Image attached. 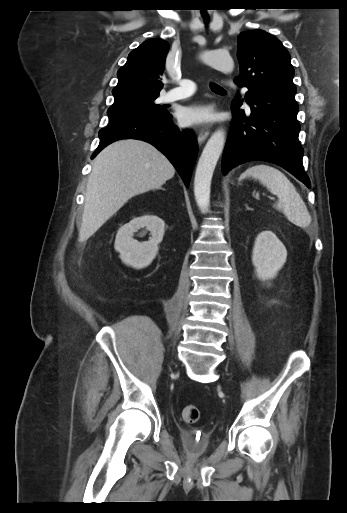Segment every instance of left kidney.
Instances as JSON below:
<instances>
[{
	"instance_id": "1",
	"label": "left kidney",
	"mask_w": 347,
	"mask_h": 513,
	"mask_svg": "<svg viewBox=\"0 0 347 513\" xmlns=\"http://www.w3.org/2000/svg\"><path fill=\"white\" fill-rule=\"evenodd\" d=\"M287 258L284 244L271 231H263L255 239L252 263L262 281L273 279Z\"/></svg>"
}]
</instances>
